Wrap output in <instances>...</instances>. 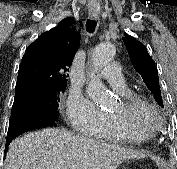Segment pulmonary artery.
I'll return each mask as SVG.
<instances>
[{
    "instance_id": "1",
    "label": "pulmonary artery",
    "mask_w": 177,
    "mask_h": 169,
    "mask_svg": "<svg viewBox=\"0 0 177 169\" xmlns=\"http://www.w3.org/2000/svg\"><path fill=\"white\" fill-rule=\"evenodd\" d=\"M100 74L116 91L127 90L126 80L122 74L119 63L111 62Z\"/></svg>"
}]
</instances>
